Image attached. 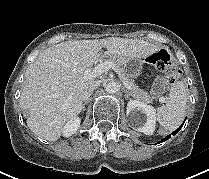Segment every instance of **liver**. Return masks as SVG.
Here are the masks:
<instances>
[{
  "mask_svg": "<svg viewBox=\"0 0 209 179\" xmlns=\"http://www.w3.org/2000/svg\"><path fill=\"white\" fill-rule=\"evenodd\" d=\"M106 48V57L146 58L159 48L139 39L109 37L100 40L66 41L45 49L28 66L20 106L28 111L27 124L37 135L56 141L65 124L83 109V93L96 81L84 79V71Z\"/></svg>",
  "mask_w": 209,
  "mask_h": 179,
  "instance_id": "1",
  "label": "liver"
}]
</instances>
